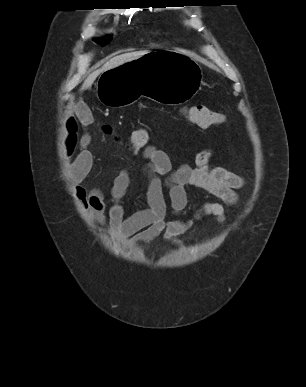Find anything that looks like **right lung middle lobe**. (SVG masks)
Wrapping results in <instances>:
<instances>
[{
	"mask_svg": "<svg viewBox=\"0 0 306 387\" xmlns=\"http://www.w3.org/2000/svg\"><path fill=\"white\" fill-rule=\"evenodd\" d=\"M110 41H111V38H110V37L95 40V42H96V43H99L101 46H105V45L108 44Z\"/></svg>",
	"mask_w": 306,
	"mask_h": 387,
	"instance_id": "right-lung-middle-lobe-1",
	"label": "right lung middle lobe"
}]
</instances>
